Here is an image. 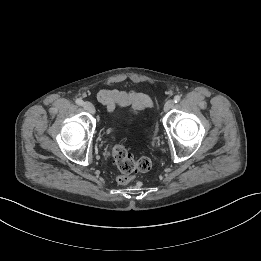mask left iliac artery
I'll return each mask as SVG.
<instances>
[{
    "label": "left iliac artery",
    "mask_w": 261,
    "mask_h": 261,
    "mask_svg": "<svg viewBox=\"0 0 261 261\" xmlns=\"http://www.w3.org/2000/svg\"><path fill=\"white\" fill-rule=\"evenodd\" d=\"M180 99H181V97H180L179 95H176V96L174 97V102L177 103V102L180 101Z\"/></svg>",
    "instance_id": "obj_1"
}]
</instances>
